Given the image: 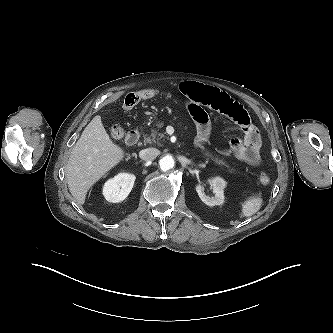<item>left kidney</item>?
I'll use <instances>...</instances> for the list:
<instances>
[{
	"instance_id": "1",
	"label": "left kidney",
	"mask_w": 333,
	"mask_h": 333,
	"mask_svg": "<svg viewBox=\"0 0 333 333\" xmlns=\"http://www.w3.org/2000/svg\"><path fill=\"white\" fill-rule=\"evenodd\" d=\"M212 186L214 197H209L205 194L202 185L196 186V192L198 193L200 199L203 203L208 206L222 205L224 203V188L226 187V181L221 177H215L209 180Z\"/></svg>"
}]
</instances>
